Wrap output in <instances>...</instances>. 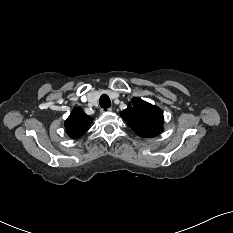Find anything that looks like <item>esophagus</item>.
Segmentation results:
<instances>
[{"mask_svg": "<svg viewBox=\"0 0 233 233\" xmlns=\"http://www.w3.org/2000/svg\"><path fill=\"white\" fill-rule=\"evenodd\" d=\"M112 111V108H103V109H101V112L102 113H109V112H111Z\"/></svg>", "mask_w": 233, "mask_h": 233, "instance_id": "1", "label": "esophagus"}]
</instances>
